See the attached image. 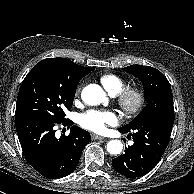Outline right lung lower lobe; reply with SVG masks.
<instances>
[{
    "label": "right lung lower lobe",
    "instance_id": "obj_1",
    "mask_svg": "<svg viewBox=\"0 0 194 194\" xmlns=\"http://www.w3.org/2000/svg\"><path fill=\"white\" fill-rule=\"evenodd\" d=\"M72 126L73 122L52 121L32 116L15 120L18 138L28 163L49 179L61 178L72 173L83 148L91 141L89 132L72 126L68 136L55 137L54 126Z\"/></svg>",
    "mask_w": 194,
    "mask_h": 194
}]
</instances>
